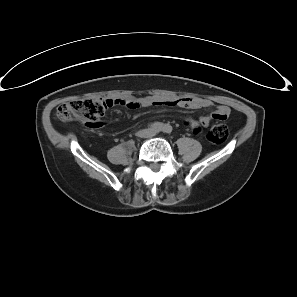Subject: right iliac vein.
Here are the masks:
<instances>
[{
  "instance_id": "1",
  "label": "right iliac vein",
  "mask_w": 297,
  "mask_h": 297,
  "mask_svg": "<svg viewBox=\"0 0 297 297\" xmlns=\"http://www.w3.org/2000/svg\"><path fill=\"white\" fill-rule=\"evenodd\" d=\"M146 133H147L146 130H142V131H139V132L137 133V136L140 137V138H142V137H145Z\"/></svg>"
}]
</instances>
